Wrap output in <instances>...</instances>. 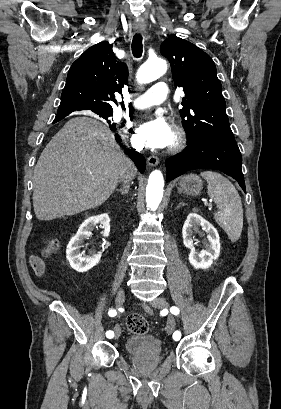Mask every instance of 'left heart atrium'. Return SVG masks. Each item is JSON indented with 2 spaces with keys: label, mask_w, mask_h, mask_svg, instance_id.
I'll return each instance as SVG.
<instances>
[{
  "label": "left heart atrium",
  "mask_w": 281,
  "mask_h": 409,
  "mask_svg": "<svg viewBox=\"0 0 281 409\" xmlns=\"http://www.w3.org/2000/svg\"><path fill=\"white\" fill-rule=\"evenodd\" d=\"M172 137L170 125L163 117H157L142 124L137 131L138 141L146 147L165 148Z\"/></svg>",
  "instance_id": "39dd6f15"
}]
</instances>
